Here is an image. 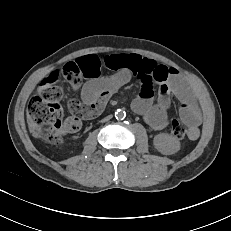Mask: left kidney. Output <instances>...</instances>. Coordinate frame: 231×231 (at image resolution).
Instances as JSON below:
<instances>
[{"label": "left kidney", "instance_id": "1", "mask_svg": "<svg viewBox=\"0 0 231 231\" xmlns=\"http://www.w3.org/2000/svg\"><path fill=\"white\" fill-rule=\"evenodd\" d=\"M153 143L155 148L164 155H172L180 150L179 140L167 133L157 134Z\"/></svg>", "mask_w": 231, "mask_h": 231}]
</instances>
